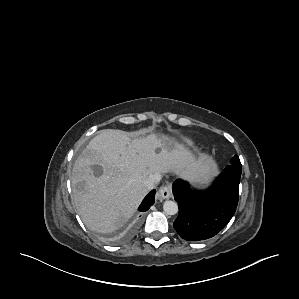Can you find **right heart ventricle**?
<instances>
[{
	"label": "right heart ventricle",
	"mask_w": 299,
	"mask_h": 299,
	"mask_svg": "<svg viewBox=\"0 0 299 299\" xmlns=\"http://www.w3.org/2000/svg\"><path fill=\"white\" fill-rule=\"evenodd\" d=\"M191 146H192V142L189 140H186L181 144L182 148H190Z\"/></svg>",
	"instance_id": "right-heart-ventricle-1"
}]
</instances>
